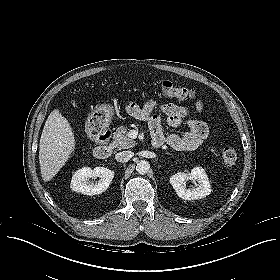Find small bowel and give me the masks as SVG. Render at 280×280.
I'll use <instances>...</instances> for the list:
<instances>
[{
  "instance_id": "1",
  "label": "small bowel",
  "mask_w": 280,
  "mask_h": 280,
  "mask_svg": "<svg viewBox=\"0 0 280 280\" xmlns=\"http://www.w3.org/2000/svg\"><path fill=\"white\" fill-rule=\"evenodd\" d=\"M159 107L166 117L169 126L177 128L186 125L188 130L181 134H166L162 127L161 117L154 113ZM204 104L202 98H198L194 111L199 114L203 110ZM127 113L139 120L147 121L152 131L153 138H160L164 143L179 151H191L202 145L209 137V129L207 124L197 116H193L189 108L179 106L172 103L159 104L154 100H150L143 106L135 103L127 105Z\"/></svg>"
}]
</instances>
